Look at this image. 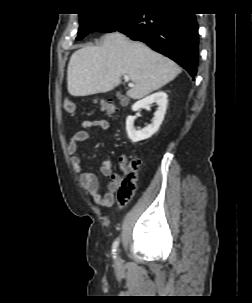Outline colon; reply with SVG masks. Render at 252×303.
Wrapping results in <instances>:
<instances>
[{"label": "colon", "instance_id": "obj_1", "mask_svg": "<svg viewBox=\"0 0 252 303\" xmlns=\"http://www.w3.org/2000/svg\"><path fill=\"white\" fill-rule=\"evenodd\" d=\"M95 102L99 104L103 111H106L108 113L115 111V106L112 102L101 100ZM63 106L64 110L67 113H74L76 110L75 102L71 98H65L63 101ZM123 163L126 164V168L124 171V176L120 183L118 199L120 203H127L133 198L135 194L139 173L142 169L143 163L139 158L123 160Z\"/></svg>", "mask_w": 252, "mask_h": 303}]
</instances>
